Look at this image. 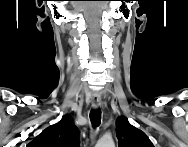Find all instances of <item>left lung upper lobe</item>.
Returning a JSON list of instances; mask_svg holds the SVG:
<instances>
[{
  "instance_id": "5c2ea615",
  "label": "left lung upper lobe",
  "mask_w": 188,
  "mask_h": 147,
  "mask_svg": "<svg viewBox=\"0 0 188 147\" xmlns=\"http://www.w3.org/2000/svg\"><path fill=\"white\" fill-rule=\"evenodd\" d=\"M116 136L119 147H154L146 134L130 125L123 116L117 119Z\"/></svg>"
}]
</instances>
